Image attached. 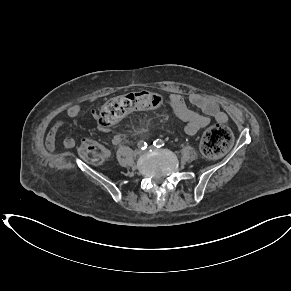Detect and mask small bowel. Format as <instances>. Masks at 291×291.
<instances>
[{"instance_id":"obj_1","label":"small bowel","mask_w":291,"mask_h":291,"mask_svg":"<svg viewBox=\"0 0 291 291\" xmlns=\"http://www.w3.org/2000/svg\"><path fill=\"white\" fill-rule=\"evenodd\" d=\"M188 102L200 109L201 112H197L191 109L186 98L179 93H172L167 98V104L170 111L176 115L178 118L186 122L185 133L188 135H195L201 129L207 127L212 120L218 123H226L228 121V115L222 111L217 103L211 98L200 94L191 93L188 96ZM83 103H75L67 108L66 114L70 119L78 117L83 111ZM93 117L97 118L98 115L93 111ZM66 119H59L50 127L46 135V148L52 153L56 148V137L59 130L66 124ZM101 130L104 132H109L110 129L101 126ZM124 140L122 134H115L112 138V143L117 145ZM76 141L73 137H66L63 141V145L66 149H71L75 146ZM106 156L109 152L105 150Z\"/></svg>"}]
</instances>
